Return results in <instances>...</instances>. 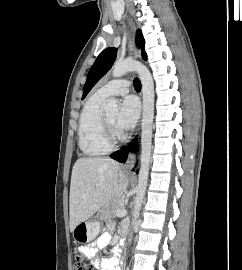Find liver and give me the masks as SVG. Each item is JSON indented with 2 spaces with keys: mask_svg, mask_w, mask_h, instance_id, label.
I'll return each instance as SVG.
<instances>
[{
  "mask_svg": "<svg viewBox=\"0 0 242 270\" xmlns=\"http://www.w3.org/2000/svg\"><path fill=\"white\" fill-rule=\"evenodd\" d=\"M128 178L110 158L84 157L72 169L70 184V231L91 218L103 205L122 198Z\"/></svg>",
  "mask_w": 242,
  "mask_h": 270,
  "instance_id": "6515ba94",
  "label": "liver"
}]
</instances>
